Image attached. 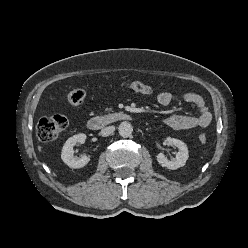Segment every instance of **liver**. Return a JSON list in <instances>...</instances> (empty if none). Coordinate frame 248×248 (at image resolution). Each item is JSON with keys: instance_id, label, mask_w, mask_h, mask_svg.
Segmentation results:
<instances>
[{"instance_id": "1", "label": "liver", "mask_w": 248, "mask_h": 248, "mask_svg": "<svg viewBox=\"0 0 248 248\" xmlns=\"http://www.w3.org/2000/svg\"><path fill=\"white\" fill-rule=\"evenodd\" d=\"M39 151H41V147H38Z\"/></svg>"}]
</instances>
